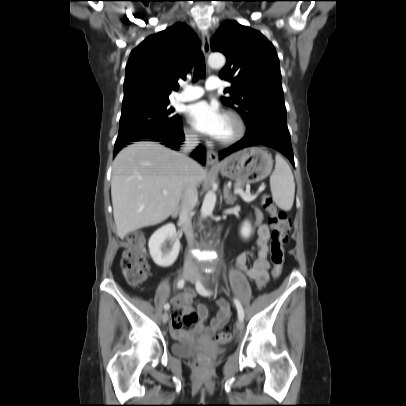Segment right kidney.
I'll use <instances>...</instances> for the list:
<instances>
[{"label":"right kidney","mask_w":406,"mask_h":406,"mask_svg":"<svg viewBox=\"0 0 406 406\" xmlns=\"http://www.w3.org/2000/svg\"><path fill=\"white\" fill-rule=\"evenodd\" d=\"M148 246L150 256L156 265L160 267L171 266L176 261L180 251V242L175 226L170 223L156 230L150 237Z\"/></svg>","instance_id":"1"}]
</instances>
